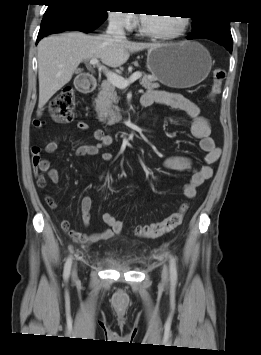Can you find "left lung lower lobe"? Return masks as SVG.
<instances>
[{"label": "left lung lower lobe", "instance_id": "obj_1", "mask_svg": "<svg viewBox=\"0 0 261 355\" xmlns=\"http://www.w3.org/2000/svg\"><path fill=\"white\" fill-rule=\"evenodd\" d=\"M188 39H192L191 36H187ZM198 38H205V39H209L212 40L214 42H218L221 45H223L226 49H228L230 52H232V48H233V40L232 37H220V36H214V35H206V36H201Z\"/></svg>", "mask_w": 261, "mask_h": 355}]
</instances>
